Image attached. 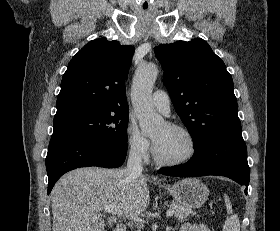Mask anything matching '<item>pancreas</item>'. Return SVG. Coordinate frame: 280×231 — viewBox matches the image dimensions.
<instances>
[{
  "mask_svg": "<svg viewBox=\"0 0 280 231\" xmlns=\"http://www.w3.org/2000/svg\"><path fill=\"white\" fill-rule=\"evenodd\" d=\"M171 209H174V217L176 219H183V217H187V215H195L196 211H192L190 207H185V205H180V203H176V201H171Z\"/></svg>",
  "mask_w": 280,
  "mask_h": 231,
  "instance_id": "obj_1",
  "label": "pancreas"
}]
</instances>
